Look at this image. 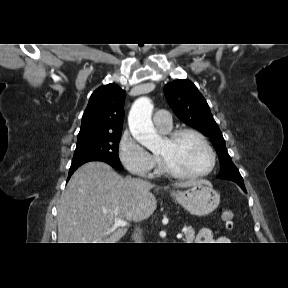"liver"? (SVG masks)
I'll return each mask as SVG.
<instances>
[{"label": "liver", "instance_id": "obj_1", "mask_svg": "<svg viewBox=\"0 0 288 288\" xmlns=\"http://www.w3.org/2000/svg\"><path fill=\"white\" fill-rule=\"evenodd\" d=\"M207 181L174 184L187 188ZM209 184V183H208ZM153 185L123 178L104 162H88L70 178L57 207L58 243H116L127 228L114 226L116 218L138 223L157 207Z\"/></svg>", "mask_w": 288, "mask_h": 288}]
</instances>
